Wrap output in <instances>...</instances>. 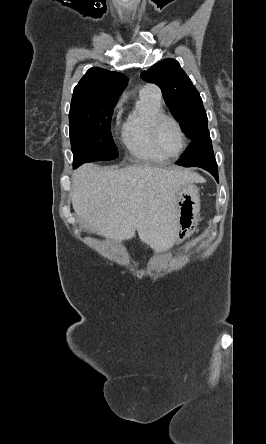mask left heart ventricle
<instances>
[{
	"label": "left heart ventricle",
	"mask_w": 266,
	"mask_h": 444,
	"mask_svg": "<svg viewBox=\"0 0 266 444\" xmlns=\"http://www.w3.org/2000/svg\"><path fill=\"white\" fill-rule=\"evenodd\" d=\"M158 142L168 155L176 154L181 146V138L176 126L171 121H164L158 131Z\"/></svg>",
	"instance_id": "obj_1"
}]
</instances>
